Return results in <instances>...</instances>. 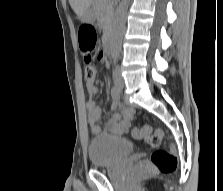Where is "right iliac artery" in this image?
<instances>
[{
  "label": "right iliac artery",
  "instance_id": "1",
  "mask_svg": "<svg viewBox=\"0 0 223 191\" xmlns=\"http://www.w3.org/2000/svg\"><path fill=\"white\" fill-rule=\"evenodd\" d=\"M111 95L113 99H120V90L116 85L112 87Z\"/></svg>",
  "mask_w": 223,
  "mask_h": 191
}]
</instances>
